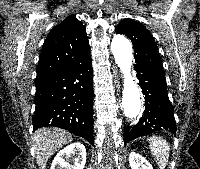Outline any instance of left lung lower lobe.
<instances>
[{
    "instance_id": "obj_1",
    "label": "left lung lower lobe",
    "mask_w": 200,
    "mask_h": 169,
    "mask_svg": "<svg viewBox=\"0 0 200 169\" xmlns=\"http://www.w3.org/2000/svg\"><path fill=\"white\" fill-rule=\"evenodd\" d=\"M139 85L145 95V110L134 126H125L124 143L159 130L176 133L174 108L169 101L164 73L155 67L136 63Z\"/></svg>"
}]
</instances>
